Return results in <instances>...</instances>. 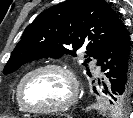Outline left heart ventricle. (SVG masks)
Instances as JSON below:
<instances>
[{"label":"left heart ventricle","instance_id":"left-heart-ventricle-1","mask_svg":"<svg viewBox=\"0 0 133 118\" xmlns=\"http://www.w3.org/2000/svg\"><path fill=\"white\" fill-rule=\"evenodd\" d=\"M71 93L67 76L57 70H44L30 76L24 86L25 102L34 108L55 106Z\"/></svg>","mask_w":133,"mask_h":118}]
</instances>
